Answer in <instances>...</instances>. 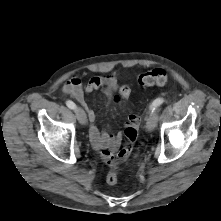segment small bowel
<instances>
[{
	"label": "small bowel",
	"mask_w": 221,
	"mask_h": 221,
	"mask_svg": "<svg viewBox=\"0 0 221 221\" xmlns=\"http://www.w3.org/2000/svg\"><path fill=\"white\" fill-rule=\"evenodd\" d=\"M84 90L91 93L94 90H100L108 101H111L115 92L119 91L117 79L114 75H107L104 77H94L85 86L82 87L81 79L79 76H72L64 85L63 91L72 96L78 101L86 110L88 119L90 121L89 138L93 147L100 151L103 159L107 162L110 157L119 149L123 133L118 132L113 134L108 131L100 130L96 124V113L93 108L87 103L84 96ZM139 123V118L135 114H130L127 119L126 126L135 125Z\"/></svg>",
	"instance_id": "c3829d8e"
}]
</instances>
